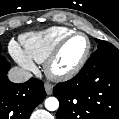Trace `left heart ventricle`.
Returning a JSON list of instances; mask_svg holds the SVG:
<instances>
[{
  "label": "left heart ventricle",
  "instance_id": "left-heart-ventricle-1",
  "mask_svg": "<svg viewBox=\"0 0 119 119\" xmlns=\"http://www.w3.org/2000/svg\"><path fill=\"white\" fill-rule=\"evenodd\" d=\"M87 49V41L82 36L71 38L63 47L54 64L56 71H65L74 67L83 57Z\"/></svg>",
  "mask_w": 119,
  "mask_h": 119
}]
</instances>
